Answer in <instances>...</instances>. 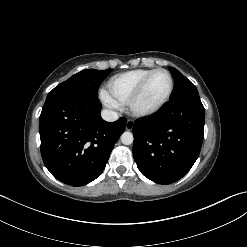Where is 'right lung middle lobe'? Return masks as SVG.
I'll return each instance as SVG.
<instances>
[{"instance_id": "1", "label": "right lung middle lobe", "mask_w": 247, "mask_h": 247, "mask_svg": "<svg viewBox=\"0 0 247 247\" xmlns=\"http://www.w3.org/2000/svg\"><path fill=\"white\" fill-rule=\"evenodd\" d=\"M112 71L86 69L83 70L63 83L57 85L52 91L49 92L47 98L61 95H75L88 98L98 97V87L103 79Z\"/></svg>"}]
</instances>
